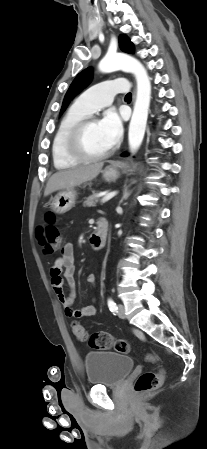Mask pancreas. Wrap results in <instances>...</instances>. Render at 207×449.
I'll use <instances>...</instances> for the list:
<instances>
[{"label":"pancreas","mask_w":207,"mask_h":449,"mask_svg":"<svg viewBox=\"0 0 207 449\" xmlns=\"http://www.w3.org/2000/svg\"><path fill=\"white\" fill-rule=\"evenodd\" d=\"M98 202L97 194H93L92 196H89L87 200L84 202V207H94L96 203Z\"/></svg>","instance_id":"1"}]
</instances>
